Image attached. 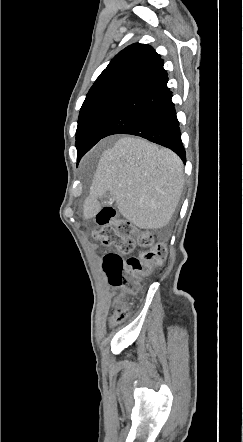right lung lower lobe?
<instances>
[{
	"instance_id": "obj_1",
	"label": "right lung lower lobe",
	"mask_w": 243,
	"mask_h": 442,
	"mask_svg": "<svg viewBox=\"0 0 243 442\" xmlns=\"http://www.w3.org/2000/svg\"><path fill=\"white\" fill-rule=\"evenodd\" d=\"M167 82L165 72L121 99L100 122L85 153L104 137L131 134L173 150L185 163L186 153Z\"/></svg>"
}]
</instances>
